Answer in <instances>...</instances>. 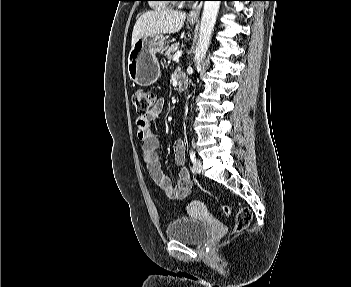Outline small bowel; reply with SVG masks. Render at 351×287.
Wrapping results in <instances>:
<instances>
[{
	"label": "small bowel",
	"instance_id": "obj_1",
	"mask_svg": "<svg viewBox=\"0 0 351 287\" xmlns=\"http://www.w3.org/2000/svg\"><path fill=\"white\" fill-rule=\"evenodd\" d=\"M163 106L164 99L159 97L145 117H137L136 133L141 141L143 161L153 181L163 190L169 199H184L192 189L189 170L184 166L186 161L185 143L182 140H176L173 146L175 161L180 166L177 183L174 185L172 180L162 170L158 155L160 140L150 129L151 121L159 115Z\"/></svg>",
	"mask_w": 351,
	"mask_h": 287
}]
</instances>
